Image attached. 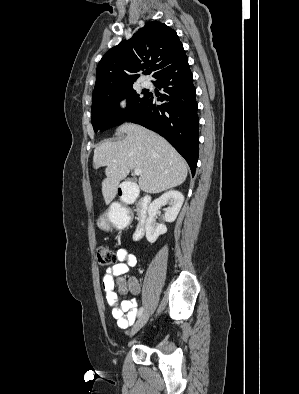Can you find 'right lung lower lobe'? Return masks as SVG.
Returning <instances> with one entry per match:
<instances>
[{"label": "right lung lower lobe", "mask_w": 299, "mask_h": 394, "mask_svg": "<svg viewBox=\"0 0 299 394\" xmlns=\"http://www.w3.org/2000/svg\"><path fill=\"white\" fill-rule=\"evenodd\" d=\"M160 97L147 93L143 104L127 120L163 136L185 158L192 175L198 160V117L192 73L186 55L156 77ZM156 101L164 102L157 105Z\"/></svg>", "instance_id": "obj_1"}]
</instances>
